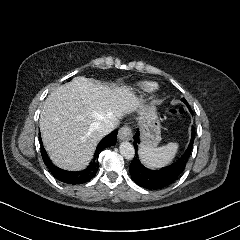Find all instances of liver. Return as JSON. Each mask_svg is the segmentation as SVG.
<instances>
[{
	"mask_svg": "<svg viewBox=\"0 0 240 240\" xmlns=\"http://www.w3.org/2000/svg\"><path fill=\"white\" fill-rule=\"evenodd\" d=\"M144 103L132 85H108L87 77L62 84L44 101L39 118L41 139L51 162L62 170L83 171L103 136L99 123L142 116Z\"/></svg>",
	"mask_w": 240,
	"mask_h": 240,
	"instance_id": "liver-1",
	"label": "liver"
}]
</instances>
